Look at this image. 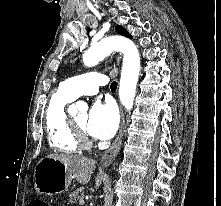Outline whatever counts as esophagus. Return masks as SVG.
<instances>
[{"label": "esophagus", "instance_id": "1", "mask_svg": "<svg viewBox=\"0 0 221 206\" xmlns=\"http://www.w3.org/2000/svg\"><path fill=\"white\" fill-rule=\"evenodd\" d=\"M121 57L119 55L116 56V61L119 64ZM121 110V122H120V128L119 132L117 134L116 139L114 140L111 147L104 153V155L101 158L100 164L102 168L108 167L116 158L120 151L122 138H123V132H124V125H125V119H124V113L122 110V107L120 106Z\"/></svg>", "mask_w": 221, "mask_h": 206}]
</instances>
